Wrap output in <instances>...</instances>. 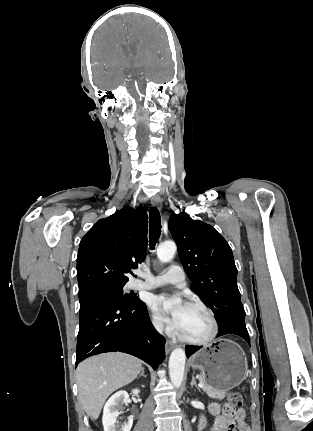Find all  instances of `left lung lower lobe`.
Masks as SVG:
<instances>
[{
    "label": "left lung lower lobe",
    "instance_id": "left-lung-lower-lobe-1",
    "mask_svg": "<svg viewBox=\"0 0 313 431\" xmlns=\"http://www.w3.org/2000/svg\"><path fill=\"white\" fill-rule=\"evenodd\" d=\"M234 334L238 335L246 340V342L250 345V337L245 325L244 319H233L222 326H219V331L217 337ZM200 346H186V356L190 357L193 353L198 351Z\"/></svg>",
    "mask_w": 313,
    "mask_h": 431
}]
</instances>
